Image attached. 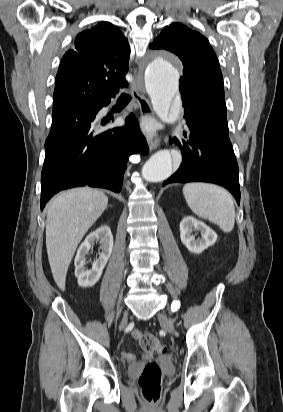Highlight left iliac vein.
Instances as JSON below:
<instances>
[{"label": "left iliac vein", "instance_id": "4c4485c4", "mask_svg": "<svg viewBox=\"0 0 283 412\" xmlns=\"http://www.w3.org/2000/svg\"><path fill=\"white\" fill-rule=\"evenodd\" d=\"M158 319L160 323L163 325V327L170 333H175V328L173 321L168 318L165 314L159 313L158 314Z\"/></svg>", "mask_w": 283, "mask_h": 412}]
</instances>
